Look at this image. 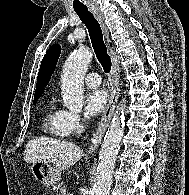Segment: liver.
<instances>
[{
	"instance_id": "obj_1",
	"label": "liver",
	"mask_w": 189,
	"mask_h": 195,
	"mask_svg": "<svg viewBox=\"0 0 189 195\" xmlns=\"http://www.w3.org/2000/svg\"><path fill=\"white\" fill-rule=\"evenodd\" d=\"M84 156L82 148L54 138L37 137L30 140L24 151V161L36 163L48 161L55 164L59 169H68Z\"/></svg>"
}]
</instances>
